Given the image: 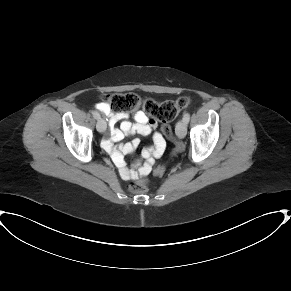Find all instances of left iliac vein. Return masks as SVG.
<instances>
[{
  "instance_id": "obj_1",
  "label": "left iliac vein",
  "mask_w": 291,
  "mask_h": 291,
  "mask_svg": "<svg viewBox=\"0 0 291 291\" xmlns=\"http://www.w3.org/2000/svg\"><path fill=\"white\" fill-rule=\"evenodd\" d=\"M175 131L179 138H184L186 136V123L183 120H180L176 125Z\"/></svg>"
}]
</instances>
